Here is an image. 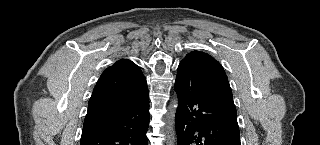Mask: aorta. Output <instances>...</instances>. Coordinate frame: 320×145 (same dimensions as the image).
Instances as JSON below:
<instances>
[{"instance_id": "1", "label": "aorta", "mask_w": 320, "mask_h": 145, "mask_svg": "<svg viewBox=\"0 0 320 145\" xmlns=\"http://www.w3.org/2000/svg\"><path fill=\"white\" fill-rule=\"evenodd\" d=\"M178 101L174 99L168 107V114L166 115V134H167V145H173L176 141L175 137V113L177 109Z\"/></svg>"}]
</instances>
